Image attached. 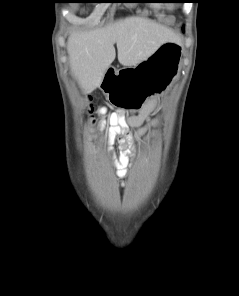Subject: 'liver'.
Returning <instances> with one entry per match:
<instances>
[{
  "label": "liver",
  "mask_w": 239,
  "mask_h": 296,
  "mask_svg": "<svg viewBox=\"0 0 239 296\" xmlns=\"http://www.w3.org/2000/svg\"><path fill=\"white\" fill-rule=\"evenodd\" d=\"M167 27L150 19L131 16L93 31L73 32L67 42L71 72L82 91L99 87L111 63L136 66L152 55L164 42L178 41Z\"/></svg>",
  "instance_id": "obj_1"
}]
</instances>
